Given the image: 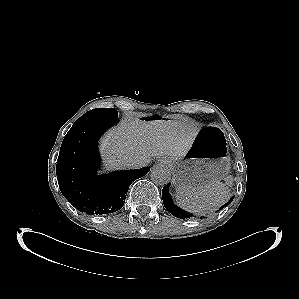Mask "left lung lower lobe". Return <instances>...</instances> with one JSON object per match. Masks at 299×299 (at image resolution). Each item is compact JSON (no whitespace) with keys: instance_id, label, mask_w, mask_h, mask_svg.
<instances>
[{"instance_id":"1","label":"left lung lower lobe","mask_w":299,"mask_h":299,"mask_svg":"<svg viewBox=\"0 0 299 299\" xmlns=\"http://www.w3.org/2000/svg\"><path fill=\"white\" fill-rule=\"evenodd\" d=\"M170 184H167L163 190H162V199H163V203L165 208L175 217L180 218V219H187L193 216V214L186 212L184 210H182L181 208H179L178 206H176L169 193H168V188H169ZM234 196L230 199L229 202L225 203L220 209H222L223 207H226L228 204H230V202H232Z\"/></svg>"}]
</instances>
